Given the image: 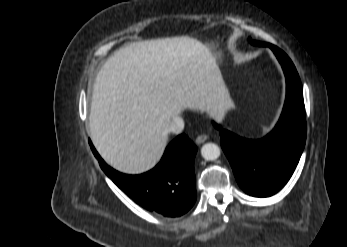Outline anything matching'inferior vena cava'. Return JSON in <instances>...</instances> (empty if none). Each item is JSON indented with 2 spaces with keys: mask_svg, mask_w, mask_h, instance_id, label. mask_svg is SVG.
I'll return each instance as SVG.
<instances>
[{
  "mask_svg": "<svg viewBox=\"0 0 347 247\" xmlns=\"http://www.w3.org/2000/svg\"><path fill=\"white\" fill-rule=\"evenodd\" d=\"M184 129V121L181 117L176 116L173 118L171 124L169 125L167 131L174 133V134H180Z\"/></svg>",
  "mask_w": 347,
  "mask_h": 247,
  "instance_id": "inferior-vena-cava-1",
  "label": "inferior vena cava"
}]
</instances>
